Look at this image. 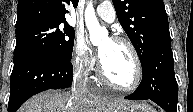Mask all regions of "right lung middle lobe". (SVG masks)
<instances>
[{
	"instance_id": "obj_1",
	"label": "right lung middle lobe",
	"mask_w": 193,
	"mask_h": 112,
	"mask_svg": "<svg viewBox=\"0 0 193 112\" xmlns=\"http://www.w3.org/2000/svg\"><path fill=\"white\" fill-rule=\"evenodd\" d=\"M74 29L68 23H38L16 29L14 61L34 52L48 51L71 60Z\"/></svg>"
}]
</instances>
